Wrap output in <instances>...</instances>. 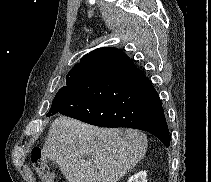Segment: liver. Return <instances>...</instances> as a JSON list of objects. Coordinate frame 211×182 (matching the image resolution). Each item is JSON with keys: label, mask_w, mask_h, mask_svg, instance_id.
Segmentation results:
<instances>
[{"label": "liver", "mask_w": 211, "mask_h": 182, "mask_svg": "<svg viewBox=\"0 0 211 182\" xmlns=\"http://www.w3.org/2000/svg\"><path fill=\"white\" fill-rule=\"evenodd\" d=\"M147 136L134 129L99 128L55 119L42 159L55 162L68 182H117L145 156Z\"/></svg>", "instance_id": "liver-1"}]
</instances>
